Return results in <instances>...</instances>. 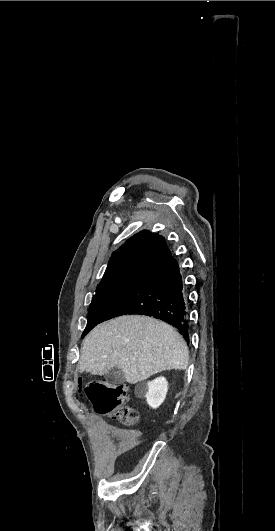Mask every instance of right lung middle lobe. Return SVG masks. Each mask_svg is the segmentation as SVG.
Returning a JSON list of instances; mask_svg holds the SVG:
<instances>
[{"mask_svg":"<svg viewBox=\"0 0 275 531\" xmlns=\"http://www.w3.org/2000/svg\"><path fill=\"white\" fill-rule=\"evenodd\" d=\"M144 269L132 268L103 277L90 304L88 322L82 338L102 322L106 311L135 283Z\"/></svg>","mask_w":275,"mask_h":531,"instance_id":"obj_1","label":"right lung middle lobe"}]
</instances>
